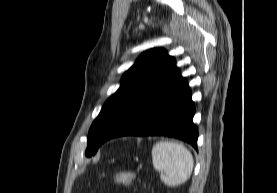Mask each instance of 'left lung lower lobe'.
<instances>
[{"mask_svg": "<svg viewBox=\"0 0 277 193\" xmlns=\"http://www.w3.org/2000/svg\"><path fill=\"white\" fill-rule=\"evenodd\" d=\"M195 105L180 71L129 106L103 136V141L127 135H163L182 139L197 148L193 124Z\"/></svg>", "mask_w": 277, "mask_h": 193, "instance_id": "left-lung-lower-lobe-1", "label": "left lung lower lobe"}]
</instances>
